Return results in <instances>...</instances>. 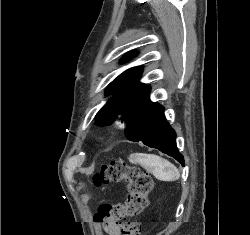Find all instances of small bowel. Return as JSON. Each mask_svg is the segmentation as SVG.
Here are the masks:
<instances>
[{
	"label": "small bowel",
	"mask_w": 250,
	"mask_h": 235,
	"mask_svg": "<svg viewBox=\"0 0 250 235\" xmlns=\"http://www.w3.org/2000/svg\"><path fill=\"white\" fill-rule=\"evenodd\" d=\"M103 229L107 235H121V230L116 225H103Z\"/></svg>",
	"instance_id": "1"
}]
</instances>
